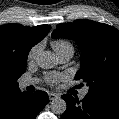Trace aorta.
I'll return each instance as SVG.
<instances>
[{
    "instance_id": "1",
    "label": "aorta",
    "mask_w": 119,
    "mask_h": 119,
    "mask_svg": "<svg viewBox=\"0 0 119 119\" xmlns=\"http://www.w3.org/2000/svg\"><path fill=\"white\" fill-rule=\"evenodd\" d=\"M36 61L42 69H51L58 63L56 56L49 51L40 53ZM50 107L52 112L58 115L63 114L67 109L66 102L62 98L53 99Z\"/></svg>"
}]
</instances>
